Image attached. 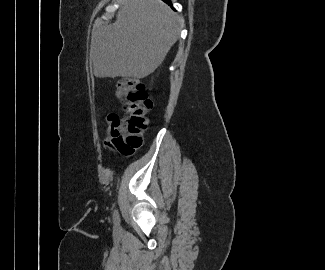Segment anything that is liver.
I'll list each match as a JSON object with an SVG mask.
<instances>
[{"label": "liver", "mask_w": 325, "mask_h": 270, "mask_svg": "<svg viewBox=\"0 0 325 270\" xmlns=\"http://www.w3.org/2000/svg\"><path fill=\"white\" fill-rule=\"evenodd\" d=\"M180 18L161 0H124L116 21L93 27L94 75L142 79L153 73L177 41Z\"/></svg>", "instance_id": "6515ba94"}]
</instances>
